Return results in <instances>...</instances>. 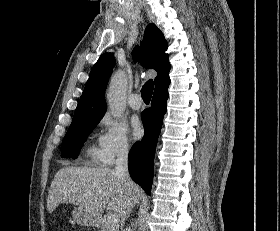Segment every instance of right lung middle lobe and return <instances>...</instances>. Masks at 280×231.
Listing matches in <instances>:
<instances>
[{
    "label": "right lung middle lobe",
    "instance_id": "dd1d6c3e",
    "mask_svg": "<svg viewBox=\"0 0 280 231\" xmlns=\"http://www.w3.org/2000/svg\"><path fill=\"white\" fill-rule=\"evenodd\" d=\"M100 120L87 121L71 125L64 137L61 146V157L75 159L82 148L87 136L96 127Z\"/></svg>",
    "mask_w": 280,
    "mask_h": 231
}]
</instances>
